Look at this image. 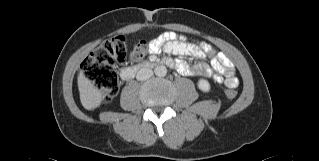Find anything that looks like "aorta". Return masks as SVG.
I'll return each mask as SVG.
<instances>
[{
    "instance_id": "762f6f07",
    "label": "aorta",
    "mask_w": 319,
    "mask_h": 161,
    "mask_svg": "<svg viewBox=\"0 0 319 161\" xmlns=\"http://www.w3.org/2000/svg\"><path fill=\"white\" fill-rule=\"evenodd\" d=\"M155 75L159 77H164L167 74V69L165 66L160 65L154 69Z\"/></svg>"
}]
</instances>
